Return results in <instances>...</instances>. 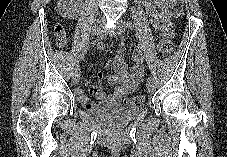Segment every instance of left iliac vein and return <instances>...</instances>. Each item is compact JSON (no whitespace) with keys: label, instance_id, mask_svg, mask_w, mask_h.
I'll use <instances>...</instances> for the list:
<instances>
[{"label":"left iliac vein","instance_id":"1","mask_svg":"<svg viewBox=\"0 0 227 157\" xmlns=\"http://www.w3.org/2000/svg\"><path fill=\"white\" fill-rule=\"evenodd\" d=\"M124 22H121L120 24H119V27H118V30H117V32L120 34V33H122L123 31H124ZM146 89H147V92L149 93V94H152L154 91H155V85H154V83L153 82H148L147 83V85H146Z\"/></svg>","mask_w":227,"mask_h":157}]
</instances>
